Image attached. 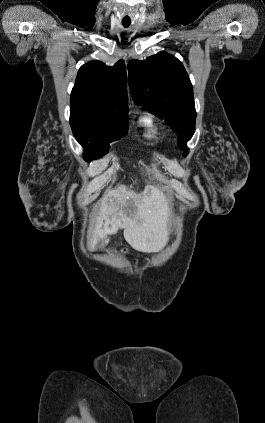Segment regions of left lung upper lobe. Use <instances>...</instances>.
Here are the masks:
<instances>
[{
    "label": "left lung upper lobe",
    "instance_id": "5c2ea615",
    "mask_svg": "<svg viewBox=\"0 0 265 423\" xmlns=\"http://www.w3.org/2000/svg\"><path fill=\"white\" fill-rule=\"evenodd\" d=\"M128 78L134 101L172 126L186 156V143L195 132L196 111L193 87L183 64L173 55L159 52L144 61L131 60Z\"/></svg>",
    "mask_w": 265,
    "mask_h": 423
}]
</instances>
